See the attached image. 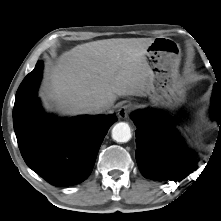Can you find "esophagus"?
Listing matches in <instances>:
<instances>
[{
  "label": "esophagus",
  "mask_w": 221,
  "mask_h": 221,
  "mask_svg": "<svg viewBox=\"0 0 221 221\" xmlns=\"http://www.w3.org/2000/svg\"><path fill=\"white\" fill-rule=\"evenodd\" d=\"M132 110V107L129 104H125L123 106H121L118 110V116L121 119H125L128 117V115L130 114Z\"/></svg>",
  "instance_id": "esophagus-1"
}]
</instances>
